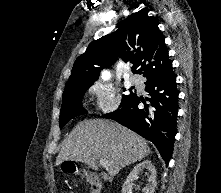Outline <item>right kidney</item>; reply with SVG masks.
<instances>
[{
    "mask_svg": "<svg viewBox=\"0 0 221 193\" xmlns=\"http://www.w3.org/2000/svg\"><path fill=\"white\" fill-rule=\"evenodd\" d=\"M143 170H148V183L143 188V193H154L156 182V169L150 160H144L137 164L127 177L123 187L122 193H132L133 181L138 177V174Z\"/></svg>",
    "mask_w": 221,
    "mask_h": 193,
    "instance_id": "obj_1",
    "label": "right kidney"
}]
</instances>
